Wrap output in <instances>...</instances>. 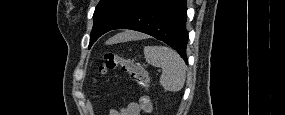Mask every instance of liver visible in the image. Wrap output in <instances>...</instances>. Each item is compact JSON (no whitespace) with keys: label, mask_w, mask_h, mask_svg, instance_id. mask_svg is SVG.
<instances>
[{"label":"liver","mask_w":285,"mask_h":115,"mask_svg":"<svg viewBox=\"0 0 285 115\" xmlns=\"http://www.w3.org/2000/svg\"><path fill=\"white\" fill-rule=\"evenodd\" d=\"M125 37H126L125 40H127V39H131V38H140V37H142V35L139 33H135V32H127V33H125ZM109 43H117V42H114L113 40H109Z\"/></svg>","instance_id":"liver-1"}]
</instances>
